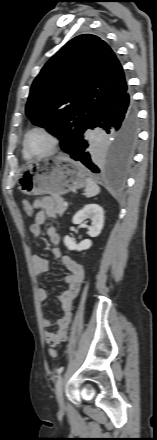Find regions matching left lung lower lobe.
<instances>
[{
    "label": "left lung lower lobe",
    "mask_w": 157,
    "mask_h": 440,
    "mask_svg": "<svg viewBox=\"0 0 157 440\" xmlns=\"http://www.w3.org/2000/svg\"><path fill=\"white\" fill-rule=\"evenodd\" d=\"M101 130L109 137L90 138L86 131ZM137 109L127 88L120 96L102 105L92 121L75 138L68 153L94 173L121 176L128 167L137 140Z\"/></svg>",
    "instance_id": "0a47b994"
}]
</instances>
